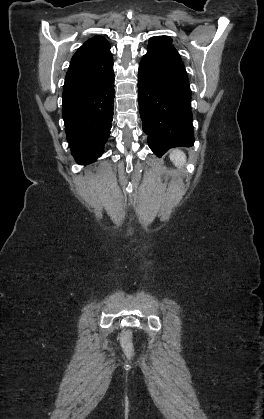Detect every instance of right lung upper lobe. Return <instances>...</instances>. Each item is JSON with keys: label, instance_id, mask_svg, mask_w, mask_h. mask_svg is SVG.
<instances>
[{"label": "right lung upper lobe", "instance_id": "right-lung-upper-lobe-1", "mask_svg": "<svg viewBox=\"0 0 264 419\" xmlns=\"http://www.w3.org/2000/svg\"><path fill=\"white\" fill-rule=\"evenodd\" d=\"M113 72L110 45L103 37L86 41L72 57L64 88H76L98 83Z\"/></svg>", "mask_w": 264, "mask_h": 419}]
</instances>
